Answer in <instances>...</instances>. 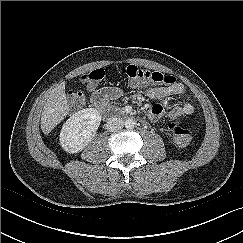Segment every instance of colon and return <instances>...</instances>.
Returning a JSON list of instances; mask_svg holds the SVG:
<instances>
[{"mask_svg":"<svg viewBox=\"0 0 243 243\" xmlns=\"http://www.w3.org/2000/svg\"><path fill=\"white\" fill-rule=\"evenodd\" d=\"M124 73L133 83L137 84H152V85H173L176 83V78L172 75L163 74L156 71H150L134 65L127 66ZM104 78L102 69H95L80 76L82 83L89 85L98 84ZM69 98L72 104L80 107L85 103V96L80 88L69 91ZM168 131L172 140L179 146H186L191 140L190 131L172 122L168 125Z\"/></svg>","mask_w":243,"mask_h":243,"instance_id":"1","label":"colon"}]
</instances>
